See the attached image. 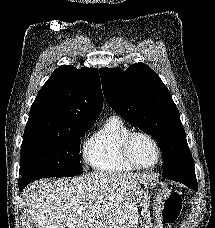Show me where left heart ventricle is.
<instances>
[{
    "instance_id": "b2bd125f",
    "label": "left heart ventricle",
    "mask_w": 215,
    "mask_h": 228,
    "mask_svg": "<svg viewBox=\"0 0 215 228\" xmlns=\"http://www.w3.org/2000/svg\"><path fill=\"white\" fill-rule=\"evenodd\" d=\"M131 156L136 165L148 167L155 163L157 153L153 144L147 138L138 136L132 143Z\"/></svg>"
}]
</instances>
